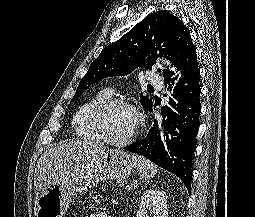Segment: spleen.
I'll use <instances>...</instances> for the list:
<instances>
[{"mask_svg":"<svg viewBox=\"0 0 255 217\" xmlns=\"http://www.w3.org/2000/svg\"><path fill=\"white\" fill-rule=\"evenodd\" d=\"M132 161L136 166L142 181H147L153 178L158 171L157 166L143 156L132 155Z\"/></svg>","mask_w":255,"mask_h":217,"instance_id":"obj_1","label":"spleen"}]
</instances>
